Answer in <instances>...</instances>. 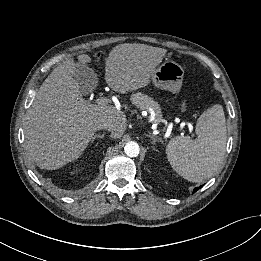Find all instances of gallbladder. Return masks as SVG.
Instances as JSON below:
<instances>
[{
	"label": "gallbladder",
	"mask_w": 261,
	"mask_h": 261,
	"mask_svg": "<svg viewBox=\"0 0 261 261\" xmlns=\"http://www.w3.org/2000/svg\"><path fill=\"white\" fill-rule=\"evenodd\" d=\"M74 78L83 94H87L97 86V75L88 65L79 63Z\"/></svg>",
	"instance_id": "obj_1"
}]
</instances>
